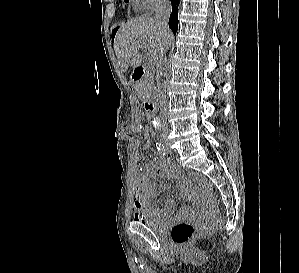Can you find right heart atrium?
<instances>
[{
  "instance_id": "obj_1",
  "label": "right heart atrium",
  "mask_w": 299,
  "mask_h": 273,
  "mask_svg": "<svg viewBox=\"0 0 299 273\" xmlns=\"http://www.w3.org/2000/svg\"><path fill=\"white\" fill-rule=\"evenodd\" d=\"M167 0H134L136 7L142 11H149Z\"/></svg>"
}]
</instances>
